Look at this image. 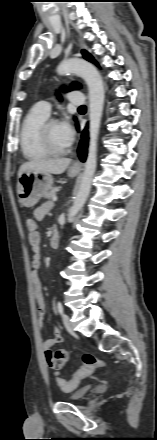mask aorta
Listing matches in <instances>:
<instances>
[{
	"mask_svg": "<svg viewBox=\"0 0 157 440\" xmlns=\"http://www.w3.org/2000/svg\"><path fill=\"white\" fill-rule=\"evenodd\" d=\"M57 72L59 74L75 73L84 79L89 92V149L85 168L81 177L78 192L74 198L73 206L68 211V218L73 219L84 205L91 189L92 179L96 169L97 138L100 128L104 105V86L102 78L96 68L82 59H72L61 63Z\"/></svg>",
	"mask_w": 157,
	"mask_h": 440,
	"instance_id": "obj_1",
	"label": "aorta"
}]
</instances>
